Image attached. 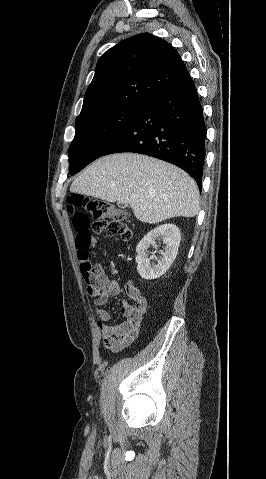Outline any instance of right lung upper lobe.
Wrapping results in <instances>:
<instances>
[{"label": "right lung upper lobe", "instance_id": "right-lung-upper-lobe-1", "mask_svg": "<svg viewBox=\"0 0 266 479\" xmlns=\"http://www.w3.org/2000/svg\"><path fill=\"white\" fill-rule=\"evenodd\" d=\"M189 79L184 62L168 42L138 34L100 57L77 119L113 109L144 108Z\"/></svg>", "mask_w": 266, "mask_h": 479}]
</instances>
